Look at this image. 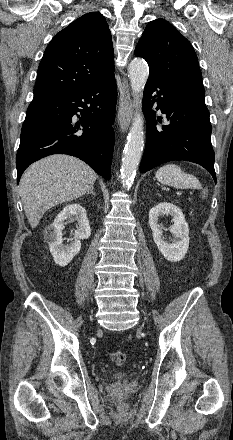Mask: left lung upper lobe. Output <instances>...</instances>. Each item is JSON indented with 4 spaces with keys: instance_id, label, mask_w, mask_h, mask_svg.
<instances>
[{
    "instance_id": "left-lung-upper-lobe-1",
    "label": "left lung upper lobe",
    "mask_w": 233,
    "mask_h": 440,
    "mask_svg": "<svg viewBox=\"0 0 233 440\" xmlns=\"http://www.w3.org/2000/svg\"><path fill=\"white\" fill-rule=\"evenodd\" d=\"M149 65V78L166 86L205 93L196 53L189 41L164 19L151 21L135 48Z\"/></svg>"
}]
</instances>
